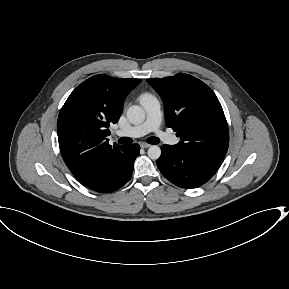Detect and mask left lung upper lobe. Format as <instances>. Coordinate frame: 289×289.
Here are the masks:
<instances>
[{
  "instance_id": "left-lung-upper-lobe-1",
  "label": "left lung upper lobe",
  "mask_w": 289,
  "mask_h": 289,
  "mask_svg": "<svg viewBox=\"0 0 289 289\" xmlns=\"http://www.w3.org/2000/svg\"><path fill=\"white\" fill-rule=\"evenodd\" d=\"M147 81L163 100L166 124L181 139L177 146L222 161L229 145V132L214 92L184 73Z\"/></svg>"
}]
</instances>
